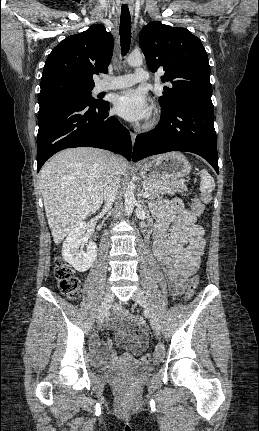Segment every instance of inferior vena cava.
<instances>
[{
    "label": "inferior vena cava",
    "mask_w": 259,
    "mask_h": 431,
    "mask_svg": "<svg viewBox=\"0 0 259 431\" xmlns=\"http://www.w3.org/2000/svg\"><path fill=\"white\" fill-rule=\"evenodd\" d=\"M118 158L109 154L106 182L104 188L105 206L109 208L114 202L120 186L121 173L117 166Z\"/></svg>",
    "instance_id": "obj_1"
}]
</instances>
